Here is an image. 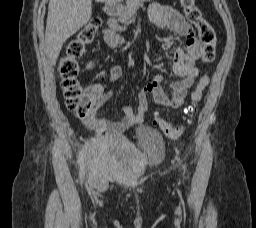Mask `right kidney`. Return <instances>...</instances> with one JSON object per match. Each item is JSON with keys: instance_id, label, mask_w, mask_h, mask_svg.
I'll use <instances>...</instances> for the list:
<instances>
[{"instance_id": "obj_1", "label": "right kidney", "mask_w": 256, "mask_h": 228, "mask_svg": "<svg viewBox=\"0 0 256 228\" xmlns=\"http://www.w3.org/2000/svg\"><path fill=\"white\" fill-rule=\"evenodd\" d=\"M93 67V64L92 63H89L88 65H87V69H90V68H92Z\"/></svg>"}]
</instances>
